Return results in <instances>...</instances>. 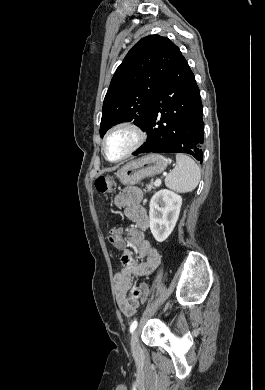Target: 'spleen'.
I'll list each match as a JSON object with an SVG mask.
<instances>
[{"label": "spleen", "mask_w": 265, "mask_h": 390, "mask_svg": "<svg viewBox=\"0 0 265 390\" xmlns=\"http://www.w3.org/2000/svg\"><path fill=\"white\" fill-rule=\"evenodd\" d=\"M201 178L199 166L189 156L176 155V166L166 176L165 185L177 192L186 193L193 191Z\"/></svg>", "instance_id": "spleen-1"}]
</instances>
